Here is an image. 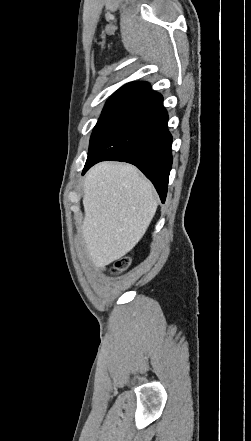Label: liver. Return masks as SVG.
Returning <instances> with one entry per match:
<instances>
[{
    "instance_id": "6515ba94",
    "label": "liver",
    "mask_w": 251,
    "mask_h": 441,
    "mask_svg": "<svg viewBox=\"0 0 251 441\" xmlns=\"http://www.w3.org/2000/svg\"><path fill=\"white\" fill-rule=\"evenodd\" d=\"M81 230L92 263L122 258L141 240L157 210L152 184L130 164L101 162L85 176Z\"/></svg>"
}]
</instances>
